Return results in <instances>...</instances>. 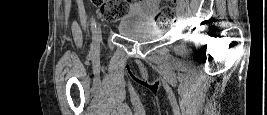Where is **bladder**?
<instances>
[{"label":"bladder","mask_w":267,"mask_h":115,"mask_svg":"<svg viewBox=\"0 0 267 115\" xmlns=\"http://www.w3.org/2000/svg\"><path fill=\"white\" fill-rule=\"evenodd\" d=\"M118 33L128 39L145 41L161 37L163 31L152 24L123 23L118 26Z\"/></svg>","instance_id":"1"}]
</instances>
